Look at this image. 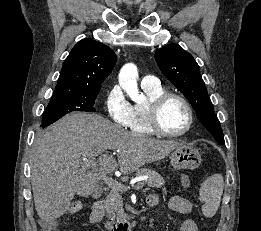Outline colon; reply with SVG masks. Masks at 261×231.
<instances>
[{
  "instance_id": "colon-1",
  "label": "colon",
  "mask_w": 261,
  "mask_h": 231,
  "mask_svg": "<svg viewBox=\"0 0 261 231\" xmlns=\"http://www.w3.org/2000/svg\"><path fill=\"white\" fill-rule=\"evenodd\" d=\"M82 203L75 201L71 203L64 211L65 214H76L82 210ZM40 231H59L56 222L52 219H42L39 221Z\"/></svg>"
}]
</instances>
